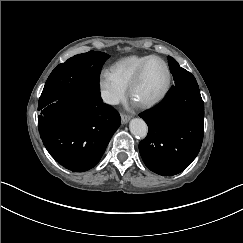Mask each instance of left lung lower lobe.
I'll return each mask as SVG.
<instances>
[{"mask_svg":"<svg viewBox=\"0 0 243 243\" xmlns=\"http://www.w3.org/2000/svg\"><path fill=\"white\" fill-rule=\"evenodd\" d=\"M139 116L149 127L139 143L145 165L163 176L186 169L203 141L204 103L198 85L172 87L159 105Z\"/></svg>","mask_w":243,"mask_h":243,"instance_id":"left-lung-lower-lobe-1","label":"left lung lower lobe"}]
</instances>
